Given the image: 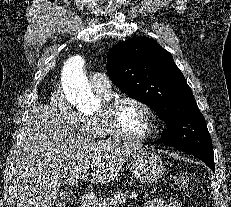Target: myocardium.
<instances>
[{"label": "myocardium", "instance_id": "myocardium-1", "mask_svg": "<svg viewBox=\"0 0 231 207\" xmlns=\"http://www.w3.org/2000/svg\"><path fill=\"white\" fill-rule=\"evenodd\" d=\"M131 102L139 105L147 114L149 125L147 131L140 136L127 135L117 122V113L120 106L124 103ZM102 119L104 128L108 134L120 141L128 143H138L151 138L157 128V118L154 110L145 101L130 95L115 96L104 101L102 110L99 114Z\"/></svg>", "mask_w": 231, "mask_h": 207}]
</instances>
